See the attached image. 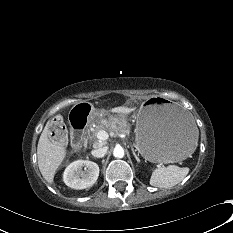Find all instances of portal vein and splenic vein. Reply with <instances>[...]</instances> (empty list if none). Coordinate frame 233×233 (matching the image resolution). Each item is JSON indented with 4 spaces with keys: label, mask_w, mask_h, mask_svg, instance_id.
<instances>
[{
    "label": "portal vein and splenic vein",
    "mask_w": 233,
    "mask_h": 233,
    "mask_svg": "<svg viewBox=\"0 0 233 233\" xmlns=\"http://www.w3.org/2000/svg\"><path fill=\"white\" fill-rule=\"evenodd\" d=\"M96 137L99 141H106L109 138V134L105 130H99Z\"/></svg>",
    "instance_id": "18ae733b"
}]
</instances>
